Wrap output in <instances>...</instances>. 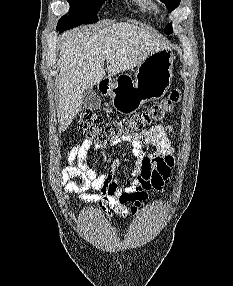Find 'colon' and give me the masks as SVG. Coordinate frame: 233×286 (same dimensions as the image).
<instances>
[{
	"label": "colon",
	"instance_id": "1",
	"mask_svg": "<svg viewBox=\"0 0 233 286\" xmlns=\"http://www.w3.org/2000/svg\"><path fill=\"white\" fill-rule=\"evenodd\" d=\"M180 98L181 92L174 89L160 102L125 118L105 119L93 110L83 109L78 115V127L89 139L98 143L120 142L124 138L141 133L146 126L164 120L173 111ZM146 198L147 193H137L131 200V210L136 211Z\"/></svg>",
	"mask_w": 233,
	"mask_h": 286
}]
</instances>
